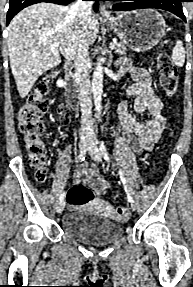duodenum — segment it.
Returning <instances> with one entry per match:
<instances>
[{"instance_id": "duodenum-1", "label": "duodenum", "mask_w": 193, "mask_h": 287, "mask_svg": "<svg viewBox=\"0 0 193 287\" xmlns=\"http://www.w3.org/2000/svg\"><path fill=\"white\" fill-rule=\"evenodd\" d=\"M73 62L68 60L66 62L67 82H66V101L67 104L75 109L78 105L79 90L73 75Z\"/></svg>"}]
</instances>
